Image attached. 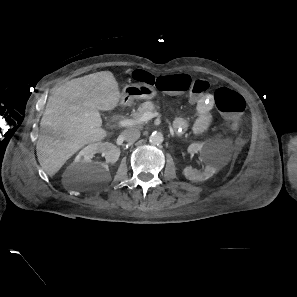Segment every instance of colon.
I'll use <instances>...</instances> for the list:
<instances>
[{"mask_svg":"<svg viewBox=\"0 0 297 297\" xmlns=\"http://www.w3.org/2000/svg\"><path fill=\"white\" fill-rule=\"evenodd\" d=\"M133 78L155 86L159 91L170 94L189 93L191 98L206 95L209 83L203 79H191L186 75L154 76L143 70L134 71ZM216 108L223 114L225 119L231 123V128L237 131L242 121V114L245 109V101L237 92L222 87L214 93ZM244 141L241 139L238 148Z\"/></svg>","mask_w":297,"mask_h":297,"instance_id":"obj_1","label":"colon"}]
</instances>
